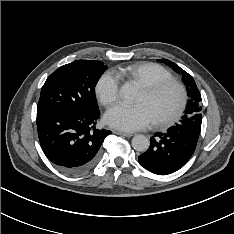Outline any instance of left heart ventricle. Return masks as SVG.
Listing matches in <instances>:
<instances>
[{"label": "left heart ventricle", "instance_id": "1", "mask_svg": "<svg viewBox=\"0 0 234 234\" xmlns=\"http://www.w3.org/2000/svg\"><path fill=\"white\" fill-rule=\"evenodd\" d=\"M178 102L179 93L175 88H167L150 98L142 91L137 100L138 104H144L148 108L154 121L168 116Z\"/></svg>", "mask_w": 234, "mask_h": 234}]
</instances>
